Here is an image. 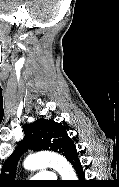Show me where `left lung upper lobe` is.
I'll use <instances>...</instances> for the list:
<instances>
[{
  "label": "left lung upper lobe",
  "mask_w": 119,
  "mask_h": 187,
  "mask_svg": "<svg viewBox=\"0 0 119 187\" xmlns=\"http://www.w3.org/2000/svg\"><path fill=\"white\" fill-rule=\"evenodd\" d=\"M25 136L10 157L4 162L0 173V187H15L22 181L14 180L17 162L23 151H55L66 157L74 145L66 128L54 120L39 119L25 128Z\"/></svg>",
  "instance_id": "1"
}]
</instances>
